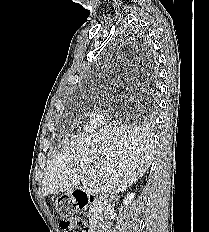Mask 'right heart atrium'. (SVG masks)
Listing matches in <instances>:
<instances>
[{
  "instance_id": "d8ad5b80",
  "label": "right heart atrium",
  "mask_w": 209,
  "mask_h": 232,
  "mask_svg": "<svg viewBox=\"0 0 209 232\" xmlns=\"http://www.w3.org/2000/svg\"><path fill=\"white\" fill-rule=\"evenodd\" d=\"M106 120V111L101 106L95 105L89 112V119L86 126L89 130H96L102 127Z\"/></svg>"
}]
</instances>
